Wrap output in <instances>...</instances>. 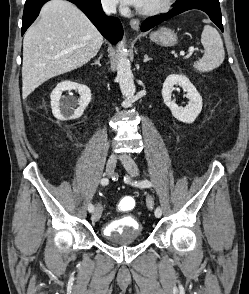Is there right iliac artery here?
<instances>
[{"label": "right iliac artery", "instance_id": "1", "mask_svg": "<svg viewBox=\"0 0 249 294\" xmlns=\"http://www.w3.org/2000/svg\"><path fill=\"white\" fill-rule=\"evenodd\" d=\"M100 183L102 184V185H107L108 183H109V180H108V178H102L101 179V181H100ZM88 211L90 212V213H92L93 211H94V205L93 204H89V206H88Z\"/></svg>", "mask_w": 249, "mask_h": 294}]
</instances>
